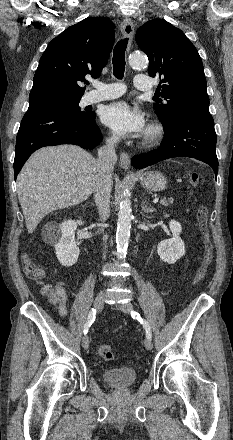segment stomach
Instances as JSON below:
<instances>
[{"instance_id": "0dacf381", "label": "stomach", "mask_w": 233, "mask_h": 440, "mask_svg": "<svg viewBox=\"0 0 233 440\" xmlns=\"http://www.w3.org/2000/svg\"><path fill=\"white\" fill-rule=\"evenodd\" d=\"M142 187L149 191H162L167 186V179L158 171L144 172L138 176Z\"/></svg>"}]
</instances>
